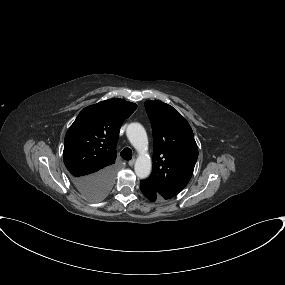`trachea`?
<instances>
[{
  "mask_svg": "<svg viewBox=\"0 0 285 285\" xmlns=\"http://www.w3.org/2000/svg\"><path fill=\"white\" fill-rule=\"evenodd\" d=\"M120 155L123 159L130 160L132 158V150L130 148H124Z\"/></svg>",
  "mask_w": 285,
  "mask_h": 285,
  "instance_id": "3493384b",
  "label": "trachea"
}]
</instances>
